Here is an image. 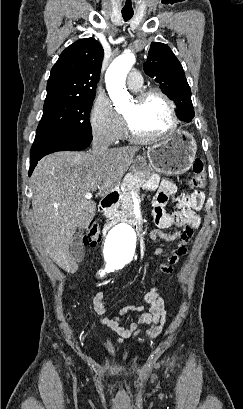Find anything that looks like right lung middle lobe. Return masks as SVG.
Returning <instances> with one entry per match:
<instances>
[{
	"label": "right lung middle lobe",
	"instance_id": "dd1d6c3e",
	"mask_svg": "<svg viewBox=\"0 0 243 409\" xmlns=\"http://www.w3.org/2000/svg\"><path fill=\"white\" fill-rule=\"evenodd\" d=\"M94 98L45 101L37 133L91 136L89 120Z\"/></svg>",
	"mask_w": 243,
	"mask_h": 409
}]
</instances>
